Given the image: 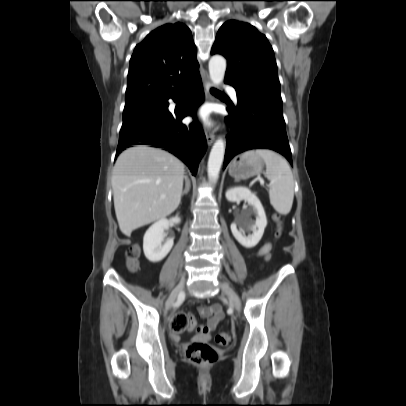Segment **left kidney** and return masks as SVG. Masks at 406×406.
<instances>
[{
    "instance_id": "obj_1",
    "label": "left kidney",
    "mask_w": 406,
    "mask_h": 406,
    "mask_svg": "<svg viewBox=\"0 0 406 406\" xmlns=\"http://www.w3.org/2000/svg\"><path fill=\"white\" fill-rule=\"evenodd\" d=\"M226 198L230 202H239L245 200L250 206H252L251 213L255 215V221L247 219L241 223V225L248 231H252V234L248 236L242 234L237 229V224H231V231L235 239L246 248L255 247L261 240L264 229L267 226V218L264 208L258 199V197L245 187H233L226 191Z\"/></svg>"
}]
</instances>
